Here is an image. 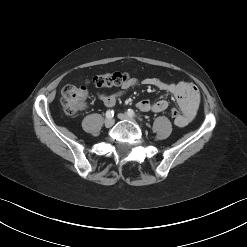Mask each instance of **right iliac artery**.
<instances>
[{
  "label": "right iliac artery",
  "mask_w": 247,
  "mask_h": 247,
  "mask_svg": "<svg viewBox=\"0 0 247 247\" xmlns=\"http://www.w3.org/2000/svg\"><path fill=\"white\" fill-rule=\"evenodd\" d=\"M114 116V111L113 110H108L107 112H106V117L107 118H112Z\"/></svg>",
  "instance_id": "right-iliac-artery-1"
}]
</instances>
